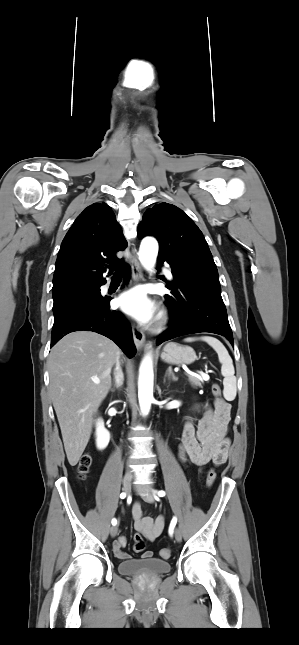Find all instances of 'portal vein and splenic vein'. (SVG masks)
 I'll return each instance as SVG.
<instances>
[{
  "mask_svg": "<svg viewBox=\"0 0 299 645\" xmlns=\"http://www.w3.org/2000/svg\"><path fill=\"white\" fill-rule=\"evenodd\" d=\"M188 373H189V374H192V375H195L193 372H188ZM201 375H202L205 379H208V378H209V376H208V375H206V374H204V373H201ZM93 382H94L95 384H99V383H100V381H99V380H93Z\"/></svg>",
  "mask_w": 299,
  "mask_h": 645,
  "instance_id": "1",
  "label": "portal vein and splenic vein"
}]
</instances>
